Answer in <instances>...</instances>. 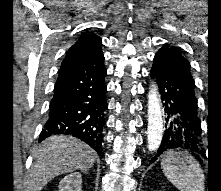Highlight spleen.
<instances>
[{"mask_svg":"<svg viewBox=\"0 0 221 191\" xmlns=\"http://www.w3.org/2000/svg\"><path fill=\"white\" fill-rule=\"evenodd\" d=\"M166 178L180 191H204L205 176L199 163L189 154L167 152L161 161Z\"/></svg>","mask_w":221,"mask_h":191,"instance_id":"spleen-1","label":"spleen"}]
</instances>
